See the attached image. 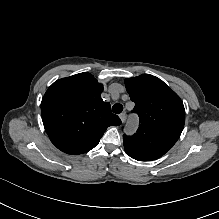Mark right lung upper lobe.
<instances>
[{
	"instance_id": "cb5924a9",
	"label": "right lung upper lobe",
	"mask_w": 219,
	"mask_h": 219,
	"mask_svg": "<svg viewBox=\"0 0 219 219\" xmlns=\"http://www.w3.org/2000/svg\"><path fill=\"white\" fill-rule=\"evenodd\" d=\"M103 85L89 73H80L54 82L41 102L44 128L51 142L67 154L78 155L93 149L107 127L121 124L103 102Z\"/></svg>"
}]
</instances>
